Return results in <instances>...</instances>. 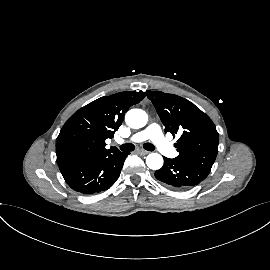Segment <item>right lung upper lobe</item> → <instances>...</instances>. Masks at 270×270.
<instances>
[{"label": "right lung upper lobe", "instance_id": "right-lung-upper-lobe-1", "mask_svg": "<svg viewBox=\"0 0 270 270\" xmlns=\"http://www.w3.org/2000/svg\"><path fill=\"white\" fill-rule=\"evenodd\" d=\"M144 97V92H120L101 97L76 111L56 140L58 166L119 151L115 147L106 149L105 140L113 137L129 107Z\"/></svg>", "mask_w": 270, "mask_h": 270}]
</instances>
